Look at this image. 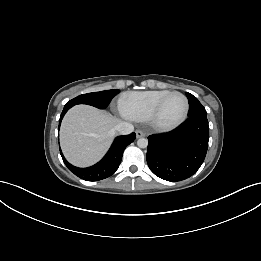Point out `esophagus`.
<instances>
[{"label":"esophagus","mask_w":261,"mask_h":261,"mask_svg":"<svg viewBox=\"0 0 261 261\" xmlns=\"http://www.w3.org/2000/svg\"><path fill=\"white\" fill-rule=\"evenodd\" d=\"M136 137L137 138L145 137V133L141 130H136Z\"/></svg>","instance_id":"34e87169"}]
</instances>
